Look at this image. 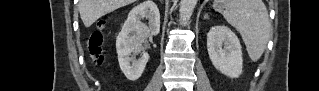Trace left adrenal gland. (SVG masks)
I'll return each mask as SVG.
<instances>
[{
	"label": "left adrenal gland",
	"instance_id": "a2214340",
	"mask_svg": "<svg viewBox=\"0 0 319 91\" xmlns=\"http://www.w3.org/2000/svg\"><path fill=\"white\" fill-rule=\"evenodd\" d=\"M208 18H209L208 14H205L204 19H208Z\"/></svg>",
	"mask_w": 319,
	"mask_h": 91
}]
</instances>
